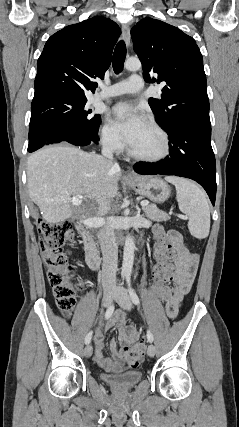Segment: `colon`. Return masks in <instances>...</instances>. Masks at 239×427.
Here are the masks:
<instances>
[{
	"label": "colon",
	"mask_w": 239,
	"mask_h": 427,
	"mask_svg": "<svg viewBox=\"0 0 239 427\" xmlns=\"http://www.w3.org/2000/svg\"><path fill=\"white\" fill-rule=\"evenodd\" d=\"M37 228L49 284L58 308L67 317L74 308L77 292L83 286V281L76 277L74 267L68 263L70 251L64 248L74 239L73 227L69 222L50 223L39 219ZM153 230L150 235L154 262L151 265L152 281L148 286L154 291L151 294L156 295L157 298H169L168 282H171L174 264L169 252L170 236L160 222L154 225ZM144 348V343L141 341L132 347H124L121 354L130 366L135 367L144 357Z\"/></svg>",
	"instance_id": "obj_1"
}]
</instances>
